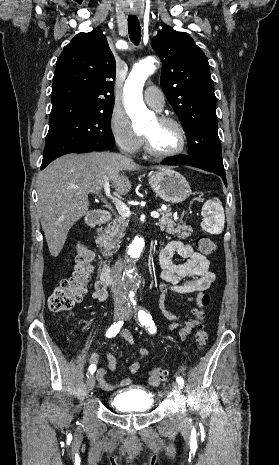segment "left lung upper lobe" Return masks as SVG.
Segmentation results:
<instances>
[{"mask_svg":"<svg viewBox=\"0 0 279 465\" xmlns=\"http://www.w3.org/2000/svg\"><path fill=\"white\" fill-rule=\"evenodd\" d=\"M161 57V87L187 134L189 155L224 170L209 63L185 32L164 26L151 43Z\"/></svg>","mask_w":279,"mask_h":465,"instance_id":"1","label":"left lung upper lobe"}]
</instances>
